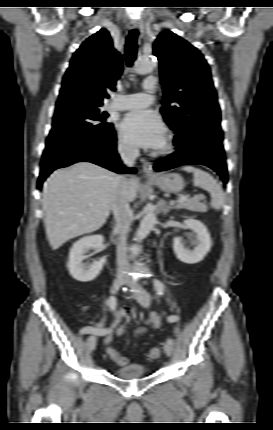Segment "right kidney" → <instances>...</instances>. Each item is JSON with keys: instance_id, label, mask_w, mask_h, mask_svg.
I'll list each match as a JSON object with an SVG mask.
<instances>
[{"instance_id": "1", "label": "right kidney", "mask_w": 273, "mask_h": 430, "mask_svg": "<svg viewBox=\"0 0 273 430\" xmlns=\"http://www.w3.org/2000/svg\"><path fill=\"white\" fill-rule=\"evenodd\" d=\"M102 235H91L76 241L69 253L67 264L70 275L79 282H90L94 280L101 272L106 259L93 262L91 265L83 263L85 253L90 249H99L103 244Z\"/></svg>"}]
</instances>
